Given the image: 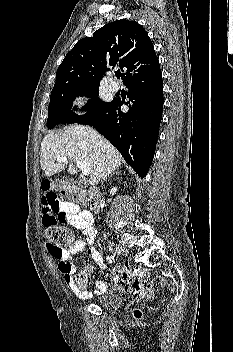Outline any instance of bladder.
Segmentation results:
<instances>
[{"label":"bladder","mask_w":233,"mask_h":352,"mask_svg":"<svg viewBox=\"0 0 233 352\" xmlns=\"http://www.w3.org/2000/svg\"><path fill=\"white\" fill-rule=\"evenodd\" d=\"M123 302V294L117 287L106 288L99 294L97 299L98 305L109 312H115Z\"/></svg>","instance_id":"bladder-1"}]
</instances>
